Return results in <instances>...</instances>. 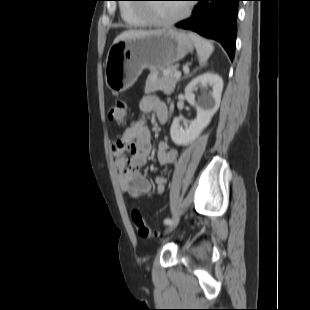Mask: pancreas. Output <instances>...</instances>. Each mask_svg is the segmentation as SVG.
Returning a JSON list of instances; mask_svg holds the SVG:
<instances>
[{"label":"pancreas","mask_w":310,"mask_h":310,"mask_svg":"<svg viewBox=\"0 0 310 310\" xmlns=\"http://www.w3.org/2000/svg\"><path fill=\"white\" fill-rule=\"evenodd\" d=\"M177 71V66H169L163 70V75L158 77V71H151L146 80L145 93H153L156 91H163L166 95L173 93L178 78L173 77Z\"/></svg>","instance_id":"cf45deb5"}]
</instances>
